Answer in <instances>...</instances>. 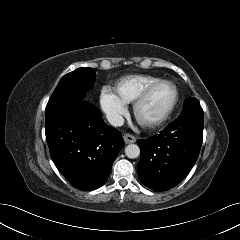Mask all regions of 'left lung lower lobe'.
<instances>
[{
  "label": "left lung lower lobe",
  "instance_id": "obj_1",
  "mask_svg": "<svg viewBox=\"0 0 240 240\" xmlns=\"http://www.w3.org/2000/svg\"><path fill=\"white\" fill-rule=\"evenodd\" d=\"M203 140L200 105L183 108L180 116L160 134L137 141L141 182L155 191H166L181 182L196 162Z\"/></svg>",
  "mask_w": 240,
  "mask_h": 240
}]
</instances>
